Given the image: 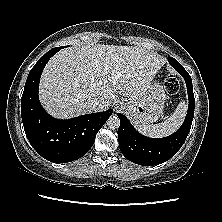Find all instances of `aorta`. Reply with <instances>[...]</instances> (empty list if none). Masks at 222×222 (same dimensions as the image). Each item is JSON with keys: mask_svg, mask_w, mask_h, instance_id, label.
Returning a JSON list of instances; mask_svg holds the SVG:
<instances>
[{"mask_svg": "<svg viewBox=\"0 0 222 222\" xmlns=\"http://www.w3.org/2000/svg\"><path fill=\"white\" fill-rule=\"evenodd\" d=\"M107 126L110 129H118L120 126V119L117 116H111L107 120Z\"/></svg>", "mask_w": 222, "mask_h": 222, "instance_id": "obj_1", "label": "aorta"}]
</instances>
